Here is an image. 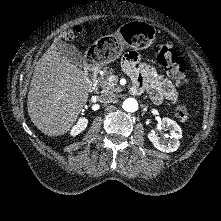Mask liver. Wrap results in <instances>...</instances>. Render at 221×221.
Wrapping results in <instances>:
<instances>
[{
    "label": "liver",
    "instance_id": "6515ba94",
    "mask_svg": "<svg viewBox=\"0 0 221 221\" xmlns=\"http://www.w3.org/2000/svg\"><path fill=\"white\" fill-rule=\"evenodd\" d=\"M58 36L37 62L28 92V114L45 135L66 134L88 101L89 88L81 68L62 57Z\"/></svg>",
    "mask_w": 221,
    "mask_h": 221
}]
</instances>
